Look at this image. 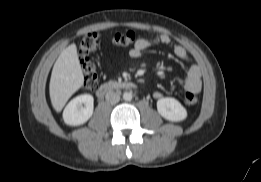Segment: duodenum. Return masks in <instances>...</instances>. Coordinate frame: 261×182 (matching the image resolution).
Returning a JSON list of instances; mask_svg holds the SVG:
<instances>
[{
    "instance_id": "duodenum-1",
    "label": "duodenum",
    "mask_w": 261,
    "mask_h": 182,
    "mask_svg": "<svg viewBox=\"0 0 261 182\" xmlns=\"http://www.w3.org/2000/svg\"><path fill=\"white\" fill-rule=\"evenodd\" d=\"M134 88H135V84L133 82L111 81V82H106V83L100 85L96 90V95H97V97L102 98L107 93H109L111 90H114V89H134Z\"/></svg>"
}]
</instances>
